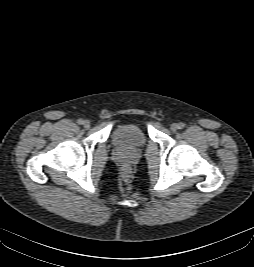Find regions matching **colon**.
<instances>
[{
    "label": "colon",
    "instance_id": "1",
    "mask_svg": "<svg viewBox=\"0 0 254 267\" xmlns=\"http://www.w3.org/2000/svg\"><path fill=\"white\" fill-rule=\"evenodd\" d=\"M123 171L125 174H128L130 172V169L128 167H125Z\"/></svg>",
    "mask_w": 254,
    "mask_h": 267
}]
</instances>
